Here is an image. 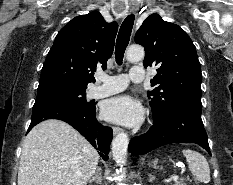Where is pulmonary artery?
<instances>
[{
    "label": "pulmonary artery",
    "mask_w": 233,
    "mask_h": 185,
    "mask_svg": "<svg viewBox=\"0 0 233 185\" xmlns=\"http://www.w3.org/2000/svg\"><path fill=\"white\" fill-rule=\"evenodd\" d=\"M145 79V71L141 67H132L128 74L109 76L105 73H98V84L95 85L91 94L93 97H105L124 90L129 81L142 82Z\"/></svg>",
    "instance_id": "1"
}]
</instances>
